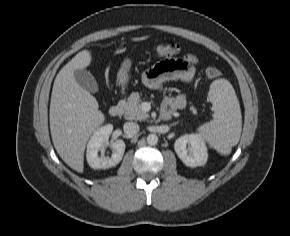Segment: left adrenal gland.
Masks as SVG:
<instances>
[{"mask_svg": "<svg viewBox=\"0 0 290 236\" xmlns=\"http://www.w3.org/2000/svg\"><path fill=\"white\" fill-rule=\"evenodd\" d=\"M178 122L173 123L172 125H176Z\"/></svg>", "mask_w": 290, "mask_h": 236, "instance_id": "1", "label": "left adrenal gland"}]
</instances>
